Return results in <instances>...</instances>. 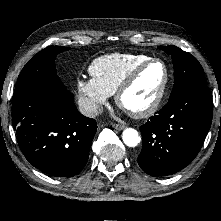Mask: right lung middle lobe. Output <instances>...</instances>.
Instances as JSON below:
<instances>
[{"instance_id":"1","label":"right lung middle lobe","mask_w":221,"mask_h":221,"mask_svg":"<svg viewBox=\"0 0 221 221\" xmlns=\"http://www.w3.org/2000/svg\"><path fill=\"white\" fill-rule=\"evenodd\" d=\"M69 49L63 46H49L37 53L21 71L12 100L39 88H66L56 74L54 61L58 53Z\"/></svg>"}]
</instances>
